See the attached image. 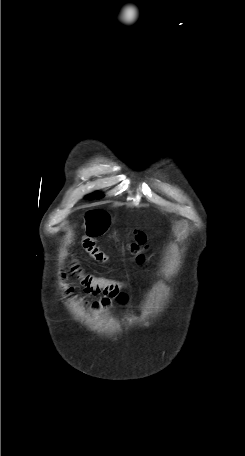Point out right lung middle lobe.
I'll use <instances>...</instances> for the list:
<instances>
[{
  "instance_id": "obj_1",
  "label": "right lung middle lobe",
  "mask_w": 245,
  "mask_h": 456,
  "mask_svg": "<svg viewBox=\"0 0 245 456\" xmlns=\"http://www.w3.org/2000/svg\"><path fill=\"white\" fill-rule=\"evenodd\" d=\"M103 196L101 194H98V193H94V194H90L88 195L86 198L89 199V200H93V199H100L102 198Z\"/></svg>"
}]
</instances>
